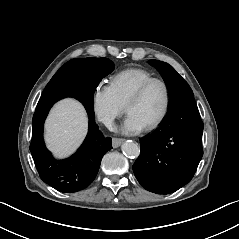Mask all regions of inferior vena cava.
Instances as JSON below:
<instances>
[{
	"mask_svg": "<svg viewBox=\"0 0 239 239\" xmlns=\"http://www.w3.org/2000/svg\"><path fill=\"white\" fill-rule=\"evenodd\" d=\"M104 125H105L110 131H112V132H114V131L117 130V127H116L114 121L111 120V119H106V120L104 121Z\"/></svg>",
	"mask_w": 239,
	"mask_h": 239,
	"instance_id": "1",
	"label": "inferior vena cava"
}]
</instances>
